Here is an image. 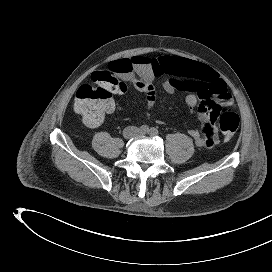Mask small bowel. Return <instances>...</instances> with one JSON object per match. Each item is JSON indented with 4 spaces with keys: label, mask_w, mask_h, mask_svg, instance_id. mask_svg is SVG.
<instances>
[{
    "label": "small bowel",
    "mask_w": 272,
    "mask_h": 272,
    "mask_svg": "<svg viewBox=\"0 0 272 272\" xmlns=\"http://www.w3.org/2000/svg\"><path fill=\"white\" fill-rule=\"evenodd\" d=\"M119 78L130 83L136 90L146 95L145 109L150 110L156 102V90L153 79L156 75L169 76L163 82L168 94L176 91L186 92L185 103L190 109L198 107L201 133L190 129L189 135L199 147H212L218 142L217 124L219 106H228L233 102L227 84L211 67L180 57L164 56L150 59L145 56H133L114 60L110 63ZM114 110L112 103L107 114Z\"/></svg>",
    "instance_id": "1"
}]
</instances>
